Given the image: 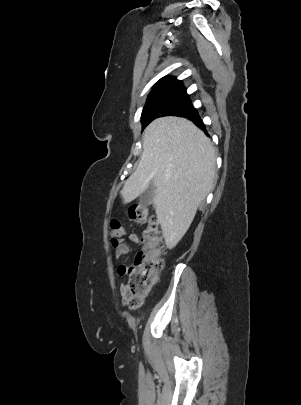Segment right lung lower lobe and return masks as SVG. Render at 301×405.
<instances>
[{"mask_svg":"<svg viewBox=\"0 0 301 405\" xmlns=\"http://www.w3.org/2000/svg\"><path fill=\"white\" fill-rule=\"evenodd\" d=\"M179 116L186 117V118L190 119V120L193 121L200 129H202L203 131L206 132V127H205V125L203 124L202 120L200 119V117H199V115H198V113H197L196 110H193V111H191V112L184 113V114L179 115Z\"/></svg>","mask_w":301,"mask_h":405,"instance_id":"right-lung-lower-lobe-1","label":"right lung lower lobe"}]
</instances>
